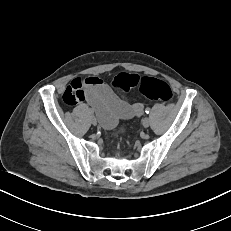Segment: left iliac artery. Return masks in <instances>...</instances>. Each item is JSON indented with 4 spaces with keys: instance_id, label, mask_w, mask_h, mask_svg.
I'll use <instances>...</instances> for the list:
<instances>
[{
    "instance_id": "44dca946",
    "label": "left iliac artery",
    "mask_w": 231,
    "mask_h": 231,
    "mask_svg": "<svg viewBox=\"0 0 231 231\" xmlns=\"http://www.w3.org/2000/svg\"><path fill=\"white\" fill-rule=\"evenodd\" d=\"M150 111H151L150 108H146V110H145L146 114H149Z\"/></svg>"
}]
</instances>
